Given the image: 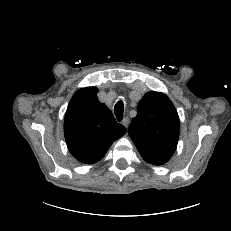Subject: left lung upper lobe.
I'll return each instance as SVG.
<instances>
[{"instance_id": "5c2ea615", "label": "left lung upper lobe", "mask_w": 231, "mask_h": 231, "mask_svg": "<svg viewBox=\"0 0 231 231\" xmlns=\"http://www.w3.org/2000/svg\"><path fill=\"white\" fill-rule=\"evenodd\" d=\"M128 133L142 158L153 165L165 164L176 150L180 121L170 99L160 92H148L138 105Z\"/></svg>"}]
</instances>
